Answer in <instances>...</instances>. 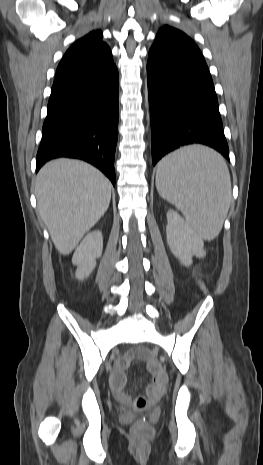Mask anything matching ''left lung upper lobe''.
Listing matches in <instances>:
<instances>
[{"label":"left lung upper lobe","instance_id":"left-lung-upper-lobe-1","mask_svg":"<svg viewBox=\"0 0 263 465\" xmlns=\"http://www.w3.org/2000/svg\"><path fill=\"white\" fill-rule=\"evenodd\" d=\"M152 46H162L175 50L200 53L198 46L182 31L170 26H163L156 35Z\"/></svg>","mask_w":263,"mask_h":465}]
</instances>
